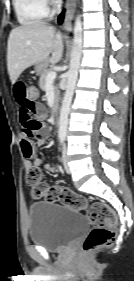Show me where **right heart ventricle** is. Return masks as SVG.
I'll return each instance as SVG.
<instances>
[{"label": "right heart ventricle", "mask_w": 134, "mask_h": 281, "mask_svg": "<svg viewBox=\"0 0 134 281\" xmlns=\"http://www.w3.org/2000/svg\"><path fill=\"white\" fill-rule=\"evenodd\" d=\"M18 21L23 25H32L48 16L46 0H13Z\"/></svg>", "instance_id": "e07e8e85"}]
</instances>
